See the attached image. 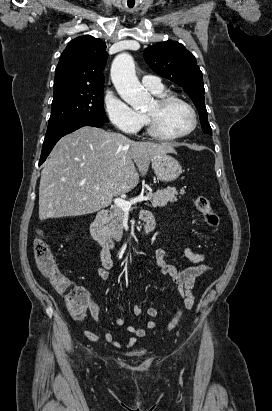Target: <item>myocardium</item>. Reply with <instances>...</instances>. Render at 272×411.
Segmentation results:
<instances>
[{"instance_id": "obj_1", "label": "myocardium", "mask_w": 272, "mask_h": 411, "mask_svg": "<svg viewBox=\"0 0 272 411\" xmlns=\"http://www.w3.org/2000/svg\"><path fill=\"white\" fill-rule=\"evenodd\" d=\"M155 103L157 104L158 108L160 110H164L167 107H169L172 104L179 103L184 105L191 113L192 115V124L190 128L182 133L179 134H167L165 133L161 127L159 126V123L156 119V117L152 114L145 113V120L147 124V129L148 132L150 133L151 136L163 140V141H174V140H179L182 138H185L186 136L190 135L197 127L198 124V116L195 108L185 99L177 97V96H172V95H163V96H158L155 99Z\"/></svg>"}]
</instances>
